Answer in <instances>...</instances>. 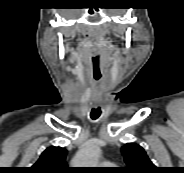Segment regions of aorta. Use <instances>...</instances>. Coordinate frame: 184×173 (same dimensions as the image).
Masks as SVG:
<instances>
[{
  "instance_id": "obj_1",
  "label": "aorta",
  "mask_w": 184,
  "mask_h": 173,
  "mask_svg": "<svg viewBox=\"0 0 184 173\" xmlns=\"http://www.w3.org/2000/svg\"><path fill=\"white\" fill-rule=\"evenodd\" d=\"M100 155V147L96 142H89L76 156L75 165L79 167H96Z\"/></svg>"
}]
</instances>
